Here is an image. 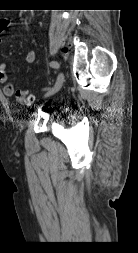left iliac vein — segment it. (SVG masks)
I'll return each instance as SVG.
<instances>
[{
    "mask_svg": "<svg viewBox=\"0 0 138 253\" xmlns=\"http://www.w3.org/2000/svg\"><path fill=\"white\" fill-rule=\"evenodd\" d=\"M63 83H64V74L63 72H60L57 76L55 84L47 89V91L44 94V97H49L57 93L62 88Z\"/></svg>",
    "mask_w": 138,
    "mask_h": 253,
    "instance_id": "obj_1",
    "label": "left iliac vein"
}]
</instances>
